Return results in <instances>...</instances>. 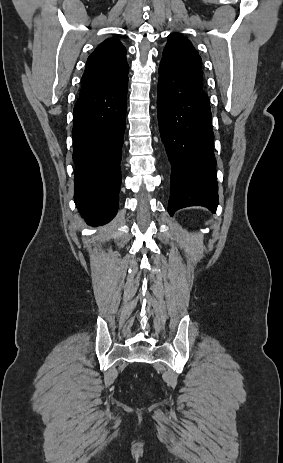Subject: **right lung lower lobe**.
I'll return each instance as SVG.
<instances>
[{"mask_svg":"<svg viewBox=\"0 0 283 463\" xmlns=\"http://www.w3.org/2000/svg\"><path fill=\"white\" fill-rule=\"evenodd\" d=\"M127 86L128 76L80 94L74 107L75 203L96 225L112 220L118 210Z\"/></svg>","mask_w":283,"mask_h":463,"instance_id":"obj_1","label":"right lung lower lobe"}]
</instances>
